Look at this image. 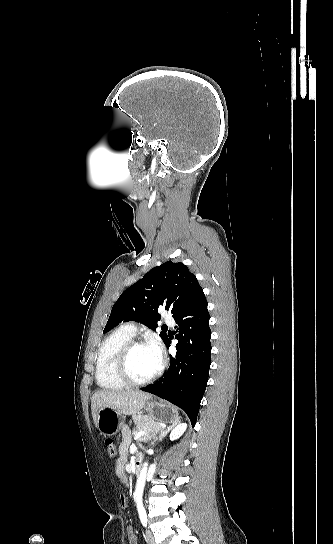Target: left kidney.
<instances>
[{"label": "left kidney", "mask_w": 333, "mask_h": 544, "mask_svg": "<svg viewBox=\"0 0 333 544\" xmlns=\"http://www.w3.org/2000/svg\"><path fill=\"white\" fill-rule=\"evenodd\" d=\"M187 424L186 423H180L178 424L171 432L170 434V440H176L178 439L186 430Z\"/></svg>", "instance_id": "5707ae66"}]
</instances>
